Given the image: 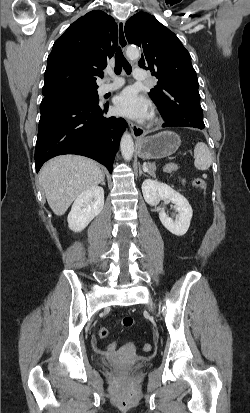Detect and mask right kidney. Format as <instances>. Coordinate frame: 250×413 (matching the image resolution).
<instances>
[{
    "instance_id": "obj_1",
    "label": "right kidney",
    "mask_w": 250,
    "mask_h": 413,
    "mask_svg": "<svg viewBox=\"0 0 250 413\" xmlns=\"http://www.w3.org/2000/svg\"><path fill=\"white\" fill-rule=\"evenodd\" d=\"M104 207V190L94 186L82 192L74 201L68 215V226L74 232H81L98 216Z\"/></svg>"
}]
</instances>
